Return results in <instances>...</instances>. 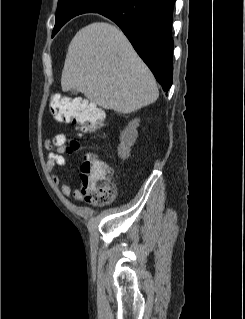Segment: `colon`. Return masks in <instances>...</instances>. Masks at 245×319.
I'll return each instance as SVG.
<instances>
[{"label":"colon","instance_id":"1","mask_svg":"<svg viewBox=\"0 0 245 319\" xmlns=\"http://www.w3.org/2000/svg\"><path fill=\"white\" fill-rule=\"evenodd\" d=\"M50 108L57 120L72 123L79 135L93 132L104 124L103 111L86 101L55 95L51 98ZM70 147L77 150L79 144L72 142ZM79 179L80 191L89 203L104 206L114 199L116 187L111 180V171L99 157L83 156Z\"/></svg>","mask_w":245,"mask_h":319}]
</instances>
